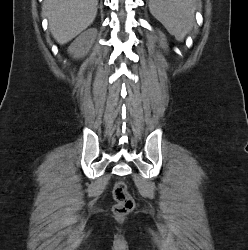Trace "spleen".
Here are the masks:
<instances>
[{
  "mask_svg": "<svg viewBox=\"0 0 248 250\" xmlns=\"http://www.w3.org/2000/svg\"><path fill=\"white\" fill-rule=\"evenodd\" d=\"M149 10L176 40L182 42L193 29L196 0H150Z\"/></svg>",
  "mask_w": 248,
  "mask_h": 250,
  "instance_id": "spleen-1",
  "label": "spleen"
}]
</instances>
